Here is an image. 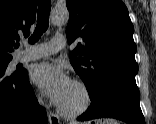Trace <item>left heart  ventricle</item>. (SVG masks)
I'll return each instance as SVG.
<instances>
[{"label":"left heart ventricle","instance_id":"1","mask_svg":"<svg viewBox=\"0 0 156 124\" xmlns=\"http://www.w3.org/2000/svg\"><path fill=\"white\" fill-rule=\"evenodd\" d=\"M83 102V93L72 83L59 105L68 111H73L79 108Z\"/></svg>","mask_w":156,"mask_h":124}]
</instances>
